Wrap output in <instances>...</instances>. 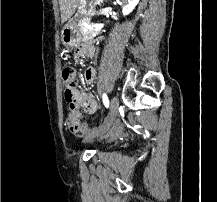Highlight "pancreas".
I'll list each match as a JSON object with an SVG mask.
<instances>
[{
    "label": "pancreas",
    "instance_id": "cf45deb5",
    "mask_svg": "<svg viewBox=\"0 0 217 202\" xmlns=\"http://www.w3.org/2000/svg\"><path fill=\"white\" fill-rule=\"evenodd\" d=\"M86 20H88V18H85V22H86ZM79 26H81V28H80V32H81V34H84V40L86 41V40H90L91 39V37H94V35L95 34H97V31H95V30H86V28H83V26H82V24H81V22H79ZM91 35V36H90ZM87 36V37H86Z\"/></svg>",
    "mask_w": 217,
    "mask_h": 202
}]
</instances>
